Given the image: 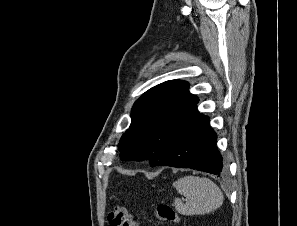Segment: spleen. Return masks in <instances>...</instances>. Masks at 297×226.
<instances>
[{
    "label": "spleen",
    "instance_id": "obj_1",
    "mask_svg": "<svg viewBox=\"0 0 297 226\" xmlns=\"http://www.w3.org/2000/svg\"><path fill=\"white\" fill-rule=\"evenodd\" d=\"M173 187L187 199L186 203L178 198L174 200L175 209L182 215H203L223 204L222 191L206 177L191 175L181 177L173 183Z\"/></svg>",
    "mask_w": 297,
    "mask_h": 226
}]
</instances>
